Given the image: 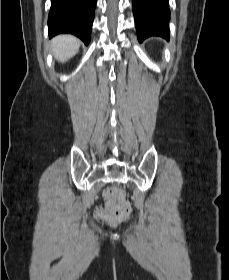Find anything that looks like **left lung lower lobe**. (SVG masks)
Returning a JSON list of instances; mask_svg holds the SVG:
<instances>
[{
    "instance_id": "obj_1",
    "label": "left lung lower lobe",
    "mask_w": 229,
    "mask_h": 280,
    "mask_svg": "<svg viewBox=\"0 0 229 280\" xmlns=\"http://www.w3.org/2000/svg\"><path fill=\"white\" fill-rule=\"evenodd\" d=\"M132 8L140 42L150 36L169 39L168 0H132Z\"/></svg>"
}]
</instances>
